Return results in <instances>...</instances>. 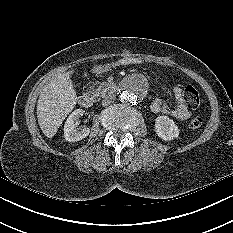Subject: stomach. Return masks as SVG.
Listing matches in <instances>:
<instances>
[{
    "mask_svg": "<svg viewBox=\"0 0 233 233\" xmlns=\"http://www.w3.org/2000/svg\"><path fill=\"white\" fill-rule=\"evenodd\" d=\"M106 69H107V67H105V66H98V67H95V68H94V72H96V73H102V72H104Z\"/></svg>",
    "mask_w": 233,
    "mask_h": 233,
    "instance_id": "1",
    "label": "stomach"
}]
</instances>
